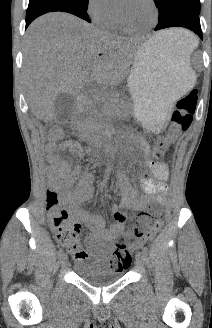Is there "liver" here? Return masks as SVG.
Masks as SVG:
<instances>
[{"mask_svg":"<svg viewBox=\"0 0 212 328\" xmlns=\"http://www.w3.org/2000/svg\"><path fill=\"white\" fill-rule=\"evenodd\" d=\"M179 33V29L165 30L152 39L177 45ZM136 48L133 38L110 35L68 13L37 18L26 32L23 62L32 114L53 121L59 94L77 95L89 83L102 89L120 84L130 74Z\"/></svg>","mask_w":212,"mask_h":328,"instance_id":"6515ba94","label":"liver"}]
</instances>
